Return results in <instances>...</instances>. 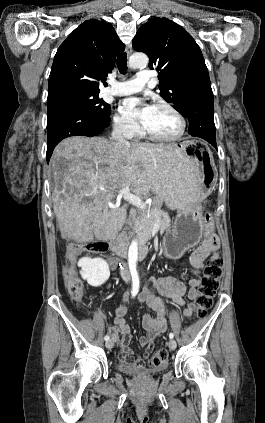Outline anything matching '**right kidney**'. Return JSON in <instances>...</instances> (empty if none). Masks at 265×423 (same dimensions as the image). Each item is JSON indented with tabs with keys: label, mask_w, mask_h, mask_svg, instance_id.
<instances>
[{
	"label": "right kidney",
	"mask_w": 265,
	"mask_h": 423,
	"mask_svg": "<svg viewBox=\"0 0 265 423\" xmlns=\"http://www.w3.org/2000/svg\"><path fill=\"white\" fill-rule=\"evenodd\" d=\"M81 267V277L90 286L99 287L110 277V270L107 262L101 258L83 257L78 261Z\"/></svg>",
	"instance_id": "ca27d5eb"
}]
</instances>
